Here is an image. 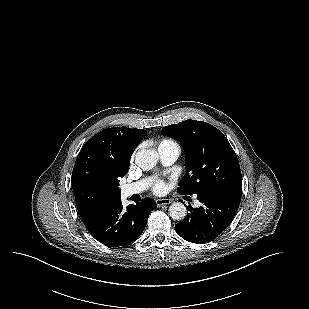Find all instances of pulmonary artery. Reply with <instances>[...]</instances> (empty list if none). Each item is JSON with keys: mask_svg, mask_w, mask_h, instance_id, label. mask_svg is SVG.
Instances as JSON below:
<instances>
[{"mask_svg": "<svg viewBox=\"0 0 309 309\" xmlns=\"http://www.w3.org/2000/svg\"><path fill=\"white\" fill-rule=\"evenodd\" d=\"M158 153L160 160L164 165H171L177 160L180 154V149L176 145H161L158 147ZM149 182L148 179H144L135 183L126 184L121 188L122 194L124 196H131L141 193L146 190Z\"/></svg>", "mask_w": 309, "mask_h": 309, "instance_id": "pulmonary-artery-1", "label": "pulmonary artery"}]
</instances>
